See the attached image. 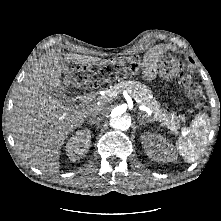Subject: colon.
I'll return each instance as SVG.
<instances>
[{"label":"colon","mask_w":221,"mask_h":221,"mask_svg":"<svg viewBox=\"0 0 221 221\" xmlns=\"http://www.w3.org/2000/svg\"><path fill=\"white\" fill-rule=\"evenodd\" d=\"M140 64H137L133 70H124L125 73H133L139 69ZM158 70L161 75H169L172 73V65L170 61H163ZM118 69L111 65L106 64L103 66H86L78 67L72 71L73 85L75 87L81 86L85 83H94L105 81L117 73ZM180 83L185 88L186 94L191 99L197 100L201 96V88L195 83L187 74L180 73Z\"/></svg>","instance_id":"colon-1"}]
</instances>
